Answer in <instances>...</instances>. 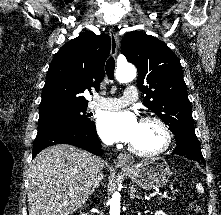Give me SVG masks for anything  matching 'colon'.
Segmentation results:
<instances>
[{
    "label": "colon",
    "mask_w": 221,
    "mask_h": 215,
    "mask_svg": "<svg viewBox=\"0 0 221 215\" xmlns=\"http://www.w3.org/2000/svg\"><path fill=\"white\" fill-rule=\"evenodd\" d=\"M194 209H197V206H194Z\"/></svg>",
    "instance_id": "1"
}]
</instances>
